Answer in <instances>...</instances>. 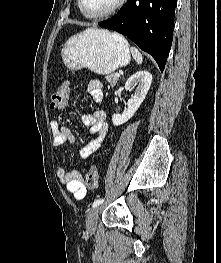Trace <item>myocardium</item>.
<instances>
[{"label":"myocardium","instance_id":"myocardium-1","mask_svg":"<svg viewBox=\"0 0 221 263\" xmlns=\"http://www.w3.org/2000/svg\"><path fill=\"white\" fill-rule=\"evenodd\" d=\"M126 1L127 0H117L116 3L112 7H110L109 9L101 13H97V14H91L87 12L83 6V0H78V6H79L80 11L85 17L89 19H101V18H105V17H108L116 13L119 9L122 8V6L125 4Z\"/></svg>","mask_w":221,"mask_h":263}]
</instances>
